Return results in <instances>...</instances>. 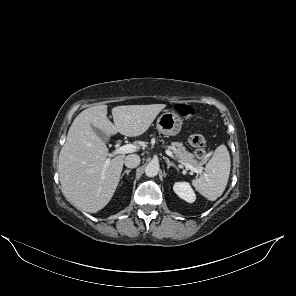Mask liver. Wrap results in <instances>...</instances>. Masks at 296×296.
I'll use <instances>...</instances> for the list:
<instances>
[{"label": "liver", "instance_id": "liver-1", "mask_svg": "<svg viewBox=\"0 0 296 296\" xmlns=\"http://www.w3.org/2000/svg\"><path fill=\"white\" fill-rule=\"evenodd\" d=\"M165 107V104L117 106L112 109L114 124L107 118V105L83 110L70 126L59 155V179L67 201L77 209L96 213L109 203L118 186L125 155L110 159L105 167L108 149L94 128L107 136L119 132L136 137L147 131Z\"/></svg>", "mask_w": 296, "mask_h": 296}]
</instances>
